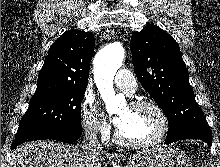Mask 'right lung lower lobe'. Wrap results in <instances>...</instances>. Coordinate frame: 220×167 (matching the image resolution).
I'll use <instances>...</instances> for the list:
<instances>
[{
  "label": "right lung lower lobe",
  "instance_id": "1",
  "mask_svg": "<svg viewBox=\"0 0 220 167\" xmlns=\"http://www.w3.org/2000/svg\"><path fill=\"white\" fill-rule=\"evenodd\" d=\"M82 134V128L79 129H67L59 132H41L39 134L29 136V137H23V138H17L12 143L11 149H14L19 144L25 142V141H32V140H43V139H53L58 140L65 143H73L77 141V139Z\"/></svg>",
  "mask_w": 220,
  "mask_h": 167
}]
</instances>
